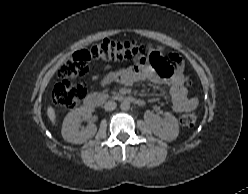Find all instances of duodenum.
Returning a JSON list of instances; mask_svg holds the SVG:
<instances>
[{
	"instance_id": "duodenum-1",
	"label": "duodenum",
	"mask_w": 248,
	"mask_h": 194,
	"mask_svg": "<svg viewBox=\"0 0 248 194\" xmlns=\"http://www.w3.org/2000/svg\"><path fill=\"white\" fill-rule=\"evenodd\" d=\"M115 99L122 101V102H127V103H132L137 106H143L144 102L140 99L126 96V95H115ZM105 100V97L99 93H90L88 94L85 99H84V104L89 107H97L102 104V102Z\"/></svg>"
}]
</instances>
